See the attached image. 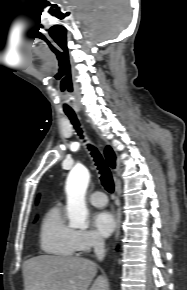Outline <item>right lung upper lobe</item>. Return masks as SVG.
Returning <instances> with one entry per match:
<instances>
[{
  "instance_id": "cb5924a9",
  "label": "right lung upper lobe",
  "mask_w": 187,
  "mask_h": 290,
  "mask_svg": "<svg viewBox=\"0 0 187 290\" xmlns=\"http://www.w3.org/2000/svg\"><path fill=\"white\" fill-rule=\"evenodd\" d=\"M105 157H106V160L108 162V164L114 168L115 167V154L113 152V150L111 149V147L107 146L106 149H105Z\"/></svg>"
}]
</instances>
